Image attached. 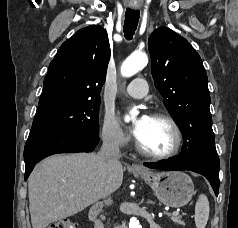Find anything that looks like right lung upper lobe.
Listing matches in <instances>:
<instances>
[{
    "label": "right lung upper lobe",
    "mask_w": 238,
    "mask_h": 228,
    "mask_svg": "<svg viewBox=\"0 0 238 228\" xmlns=\"http://www.w3.org/2000/svg\"><path fill=\"white\" fill-rule=\"evenodd\" d=\"M110 54L107 32L98 25L80 29L65 41L49 65L35 117L100 101Z\"/></svg>",
    "instance_id": "right-lung-upper-lobe-1"
}]
</instances>
